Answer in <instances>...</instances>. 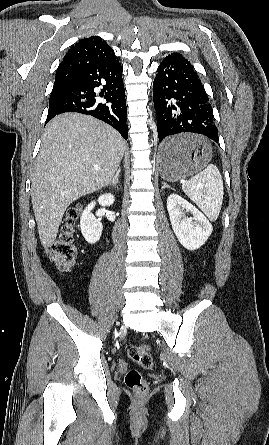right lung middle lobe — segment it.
Returning a JSON list of instances; mask_svg holds the SVG:
<instances>
[{
	"label": "right lung middle lobe",
	"instance_id": "obj_1",
	"mask_svg": "<svg viewBox=\"0 0 269 445\" xmlns=\"http://www.w3.org/2000/svg\"><path fill=\"white\" fill-rule=\"evenodd\" d=\"M64 93L63 87H54L51 92L49 102L55 101L57 98L61 97Z\"/></svg>",
	"mask_w": 269,
	"mask_h": 445
}]
</instances>
